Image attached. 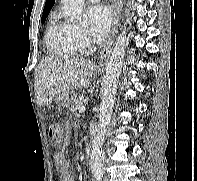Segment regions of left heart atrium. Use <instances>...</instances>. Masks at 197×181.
<instances>
[{
    "instance_id": "left-heart-atrium-1",
    "label": "left heart atrium",
    "mask_w": 197,
    "mask_h": 181,
    "mask_svg": "<svg viewBox=\"0 0 197 181\" xmlns=\"http://www.w3.org/2000/svg\"><path fill=\"white\" fill-rule=\"evenodd\" d=\"M88 31L90 35L97 39H103L112 24V13L108 6L98 4L91 6L87 10Z\"/></svg>"
}]
</instances>
